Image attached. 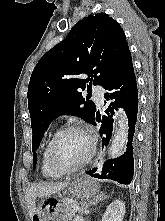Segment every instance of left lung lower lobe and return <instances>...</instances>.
<instances>
[{
    "mask_svg": "<svg viewBox=\"0 0 165 221\" xmlns=\"http://www.w3.org/2000/svg\"><path fill=\"white\" fill-rule=\"evenodd\" d=\"M103 88L107 90L104 95L105 103L110 102L105 110L106 116H103L102 120L96 117L91 123L96 125V121L101 122L100 135L103 146L107 145L113 130L114 109L123 107L128 116L129 126L127 149L119 158L107 160L99 169L89 170L86 174L99 179L114 180L120 184H130L134 172L133 136L138 111L137 83L131 54Z\"/></svg>",
    "mask_w": 165,
    "mask_h": 221,
    "instance_id": "0a47b994",
    "label": "left lung lower lobe"
}]
</instances>
